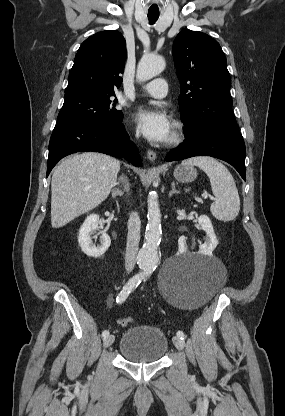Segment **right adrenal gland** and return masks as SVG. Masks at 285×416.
I'll return each instance as SVG.
<instances>
[{"label": "right adrenal gland", "mask_w": 285, "mask_h": 416, "mask_svg": "<svg viewBox=\"0 0 285 416\" xmlns=\"http://www.w3.org/2000/svg\"><path fill=\"white\" fill-rule=\"evenodd\" d=\"M119 180H121V178H119ZM121 182H123V180H121ZM123 194L124 192H122V190H118V188H113L112 190V198H116V196H123Z\"/></svg>", "instance_id": "2a0ac1e0"}]
</instances>
